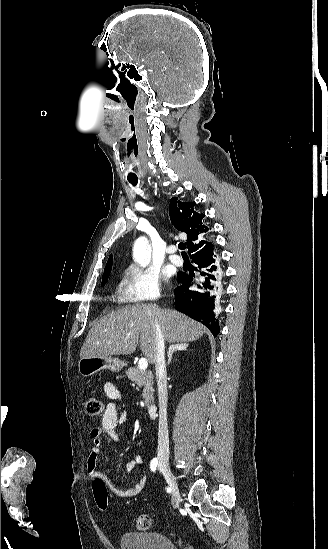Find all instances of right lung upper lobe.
Instances as JSON below:
<instances>
[{
    "instance_id": "obj_1",
    "label": "right lung upper lobe",
    "mask_w": 328,
    "mask_h": 549,
    "mask_svg": "<svg viewBox=\"0 0 328 549\" xmlns=\"http://www.w3.org/2000/svg\"><path fill=\"white\" fill-rule=\"evenodd\" d=\"M195 202H181L177 197L170 200V219L176 229L185 232L188 235L186 242L188 252L191 258L213 251V245L206 238L199 244H194L191 240L205 238L210 233V228L204 222L205 214L194 211ZM113 257L110 255L104 273L112 269ZM104 275V274H103Z\"/></svg>"
}]
</instances>
